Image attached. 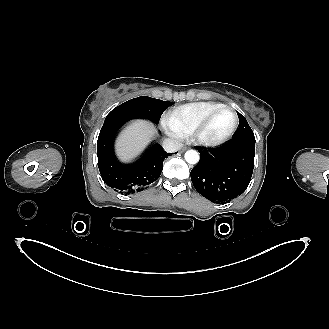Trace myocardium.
Segmentation results:
<instances>
[{
	"instance_id": "1",
	"label": "myocardium",
	"mask_w": 329,
	"mask_h": 329,
	"mask_svg": "<svg viewBox=\"0 0 329 329\" xmlns=\"http://www.w3.org/2000/svg\"><path fill=\"white\" fill-rule=\"evenodd\" d=\"M223 110H230L233 112L234 115V124L230 132L226 136L219 139L204 138L202 134L205 128L208 126V124L213 119V117ZM238 126H239V116L237 111L232 106L222 105L216 108L215 110L211 111L204 119H202L192 130L191 136L194 142H196L197 144L205 147H213L225 143L226 141L231 139L235 134V132L237 131Z\"/></svg>"
}]
</instances>
